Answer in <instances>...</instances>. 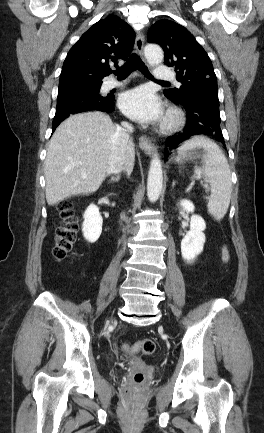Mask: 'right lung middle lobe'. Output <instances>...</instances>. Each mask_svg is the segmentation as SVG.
<instances>
[{
    "instance_id": "dd1d6c3e",
    "label": "right lung middle lobe",
    "mask_w": 264,
    "mask_h": 433,
    "mask_svg": "<svg viewBox=\"0 0 264 433\" xmlns=\"http://www.w3.org/2000/svg\"><path fill=\"white\" fill-rule=\"evenodd\" d=\"M73 89L90 90L92 92L99 93L100 86H99V84L98 85H80V84H75V85H73L71 87L58 90V93H59L60 97L66 96Z\"/></svg>"
}]
</instances>
